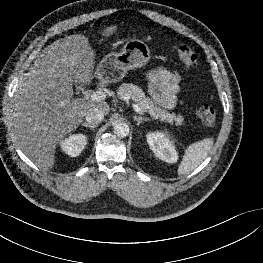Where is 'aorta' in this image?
Instances as JSON below:
<instances>
[{
	"label": "aorta",
	"mask_w": 263,
	"mask_h": 263,
	"mask_svg": "<svg viewBox=\"0 0 263 263\" xmlns=\"http://www.w3.org/2000/svg\"><path fill=\"white\" fill-rule=\"evenodd\" d=\"M114 134L118 137H126L129 134V126L125 122L117 121L113 124Z\"/></svg>",
	"instance_id": "aorta-1"
}]
</instances>
